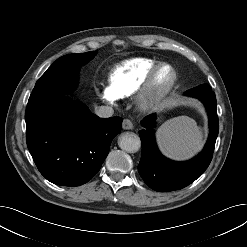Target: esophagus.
<instances>
[{"label": "esophagus", "mask_w": 247, "mask_h": 247, "mask_svg": "<svg viewBox=\"0 0 247 247\" xmlns=\"http://www.w3.org/2000/svg\"><path fill=\"white\" fill-rule=\"evenodd\" d=\"M122 128L124 130H131L133 129V123L129 119H124L122 123Z\"/></svg>", "instance_id": "34e87169"}]
</instances>
